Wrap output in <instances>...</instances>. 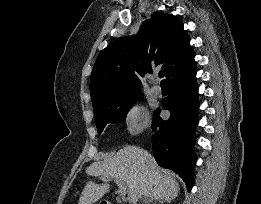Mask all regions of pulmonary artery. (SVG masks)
I'll use <instances>...</instances> for the list:
<instances>
[{
	"label": "pulmonary artery",
	"instance_id": "1",
	"mask_svg": "<svg viewBox=\"0 0 261 204\" xmlns=\"http://www.w3.org/2000/svg\"><path fill=\"white\" fill-rule=\"evenodd\" d=\"M152 92H153L155 95H160L161 92H162L161 87H160L158 84L153 85V87H152Z\"/></svg>",
	"mask_w": 261,
	"mask_h": 204
}]
</instances>
